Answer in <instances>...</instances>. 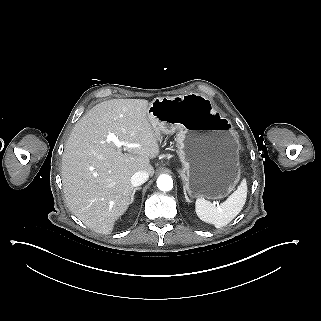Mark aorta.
<instances>
[{"instance_id":"aorta-1","label":"aorta","mask_w":321,"mask_h":321,"mask_svg":"<svg viewBox=\"0 0 321 321\" xmlns=\"http://www.w3.org/2000/svg\"><path fill=\"white\" fill-rule=\"evenodd\" d=\"M157 187L161 191H170L173 188V180L167 174L160 175L157 179Z\"/></svg>"}]
</instances>
